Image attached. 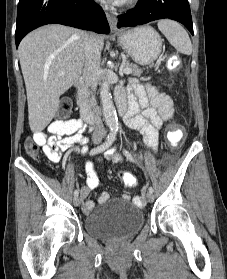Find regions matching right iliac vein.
Here are the masks:
<instances>
[{
  "label": "right iliac vein",
  "mask_w": 227,
  "mask_h": 279,
  "mask_svg": "<svg viewBox=\"0 0 227 279\" xmlns=\"http://www.w3.org/2000/svg\"><path fill=\"white\" fill-rule=\"evenodd\" d=\"M96 144H99L100 143V140H96L95 141ZM73 203L76 207L80 206L81 204V199L79 197H75L74 200H73Z\"/></svg>",
  "instance_id": "1"
}]
</instances>
